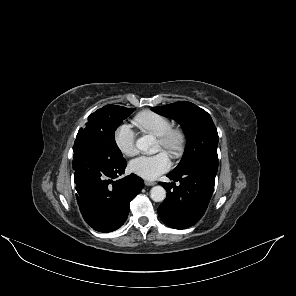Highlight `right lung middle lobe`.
I'll list each match as a JSON object with an SVG mask.
<instances>
[{"label": "right lung middle lobe", "instance_id": "obj_1", "mask_svg": "<svg viewBox=\"0 0 296 296\" xmlns=\"http://www.w3.org/2000/svg\"><path fill=\"white\" fill-rule=\"evenodd\" d=\"M135 109L117 105H106L88 117L84 129H80L76 140L87 141L106 150L113 159L122 160V153L115 142V130Z\"/></svg>", "mask_w": 296, "mask_h": 296}]
</instances>
